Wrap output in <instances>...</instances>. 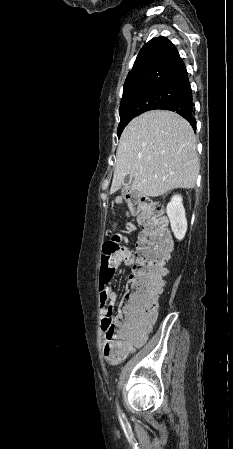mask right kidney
<instances>
[{
  "label": "right kidney",
  "mask_w": 233,
  "mask_h": 449,
  "mask_svg": "<svg viewBox=\"0 0 233 449\" xmlns=\"http://www.w3.org/2000/svg\"><path fill=\"white\" fill-rule=\"evenodd\" d=\"M166 212L170 219L171 229L174 236L178 240H182L187 231V219L185 217V209L180 195L172 197L167 205Z\"/></svg>",
  "instance_id": "1"
}]
</instances>
